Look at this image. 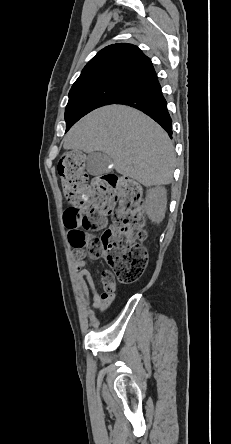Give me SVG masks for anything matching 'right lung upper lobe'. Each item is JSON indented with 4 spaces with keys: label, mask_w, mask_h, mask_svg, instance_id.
I'll list each match as a JSON object with an SVG mask.
<instances>
[{
    "label": "right lung upper lobe",
    "mask_w": 231,
    "mask_h": 444,
    "mask_svg": "<svg viewBox=\"0 0 231 444\" xmlns=\"http://www.w3.org/2000/svg\"><path fill=\"white\" fill-rule=\"evenodd\" d=\"M156 78L151 60L137 46L120 43L99 51L84 67L71 90L108 83L132 90Z\"/></svg>",
    "instance_id": "obj_1"
}]
</instances>
